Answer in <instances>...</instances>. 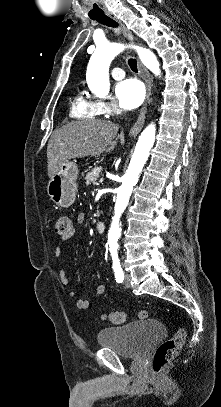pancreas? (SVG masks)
Instances as JSON below:
<instances>
[{
  "mask_svg": "<svg viewBox=\"0 0 221 407\" xmlns=\"http://www.w3.org/2000/svg\"><path fill=\"white\" fill-rule=\"evenodd\" d=\"M102 167H94L86 174L85 180L87 185L96 184L97 179L100 177Z\"/></svg>",
  "mask_w": 221,
  "mask_h": 407,
  "instance_id": "pancreas-1",
  "label": "pancreas"
}]
</instances>
